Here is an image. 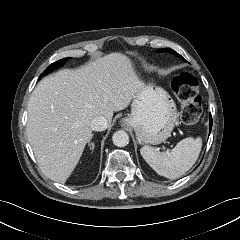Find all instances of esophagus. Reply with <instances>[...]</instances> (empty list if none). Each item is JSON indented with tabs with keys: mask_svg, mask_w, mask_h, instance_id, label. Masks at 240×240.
<instances>
[{
	"mask_svg": "<svg viewBox=\"0 0 240 240\" xmlns=\"http://www.w3.org/2000/svg\"><path fill=\"white\" fill-rule=\"evenodd\" d=\"M122 123L127 124L125 121H122Z\"/></svg>",
	"mask_w": 240,
	"mask_h": 240,
	"instance_id": "34e87169",
	"label": "esophagus"
}]
</instances>
